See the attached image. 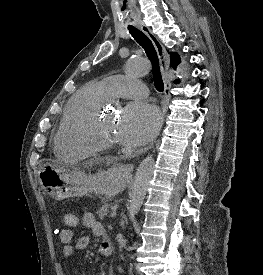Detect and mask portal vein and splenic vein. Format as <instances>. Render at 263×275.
<instances>
[{"label":"portal vein and splenic vein","mask_w":263,"mask_h":275,"mask_svg":"<svg viewBox=\"0 0 263 275\" xmlns=\"http://www.w3.org/2000/svg\"><path fill=\"white\" fill-rule=\"evenodd\" d=\"M111 217H115L116 216V210H113L110 214Z\"/></svg>","instance_id":"portal-vein-and-splenic-vein-1"}]
</instances>
